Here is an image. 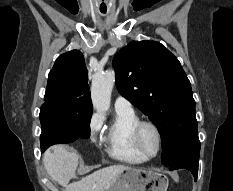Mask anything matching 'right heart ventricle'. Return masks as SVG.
<instances>
[{"mask_svg": "<svg viewBox=\"0 0 233 191\" xmlns=\"http://www.w3.org/2000/svg\"><path fill=\"white\" fill-rule=\"evenodd\" d=\"M139 118L134 111H116L106 133L108 154L116 160L136 164L147 160L136 148L132 131Z\"/></svg>", "mask_w": 233, "mask_h": 191, "instance_id": "obj_1", "label": "right heart ventricle"}]
</instances>
